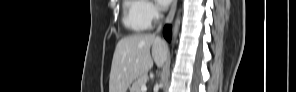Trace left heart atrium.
<instances>
[{
	"label": "left heart atrium",
	"instance_id": "1",
	"mask_svg": "<svg viewBox=\"0 0 296 92\" xmlns=\"http://www.w3.org/2000/svg\"><path fill=\"white\" fill-rule=\"evenodd\" d=\"M170 1L168 0H158L157 3L162 7V8H165L168 4H169Z\"/></svg>",
	"mask_w": 296,
	"mask_h": 92
}]
</instances>
